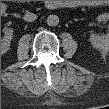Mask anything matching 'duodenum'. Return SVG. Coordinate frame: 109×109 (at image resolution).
<instances>
[{
  "instance_id": "1",
  "label": "duodenum",
  "mask_w": 109,
  "mask_h": 109,
  "mask_svg": "<svg viewBox=\"0 0 109 109\" xmlns=\"http://www.w3.org/2000/svg\"><path fill=\"white\" fill-rule=\"evenodd\" d=\"M47 8H57V7H68V8H73L76 7L77 4L75 3H58V2H49L47 5Z\"/></svg>"
}]
</instances>
